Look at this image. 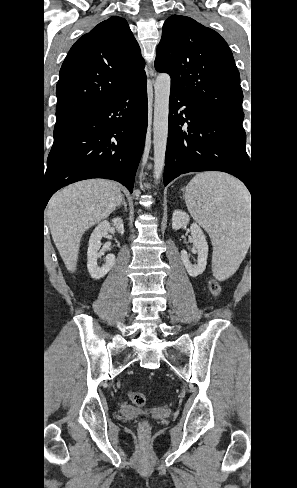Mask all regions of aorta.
I'll return each instance as SVG.
<instances>
[{"label": "aorta", "instance_id": "762f6f07", "mask_svg": "<svg viewBox=\"0 0 297 488\" xmlns=\"http://www.w3.org/2000/svg\"><path fill=\"white\" fill-rule=\"evenodd\" d=\"M171 78L166 73L157 76L154 83V122H153V145H154V179L156 183L160 180L164 165L165 153L168 138V117L169 97Z\"/></svg>", "mask_w": 297, "mask_h": 488}]
</instances>
